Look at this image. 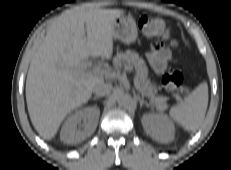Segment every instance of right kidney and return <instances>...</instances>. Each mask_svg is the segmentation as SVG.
<instances>
[{
    "label": "right kidney",
    "instance_id": "right-kidney-1",
    "mask_svg": "<svg viewBox=\"0 0 231 170\" xmlns=\"http://www.w3.org/2000/svg\"><path fill=\"white\" fill-rule=\"evenodd\" d=\"M100 116L98 107H87L69 116L62 126L60 139L66 144H77L95 131ZM84 124L81 126V121Z\"/></svg>",
    "mask_w": 231,
    "mask_h": 170
}]
</instances>
